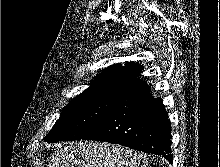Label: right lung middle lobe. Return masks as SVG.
<instances>
[{
  "mask_svg": "<svg viewBox=\"0 0 220 167\" xmlns=\"http://www.w3.org/2000/svg\"><path fill=\"white\" fill-rule=\"evenodd\" d=\"M115 99L91 97L71 100L45 137L48 143L80 140L104 118Z\"/></svg>",
  "mask_w": 220,
  "mask_h": 167,
  "instance_id": "1",
  "label": "right lung middle lobe"
}]
</instances>
